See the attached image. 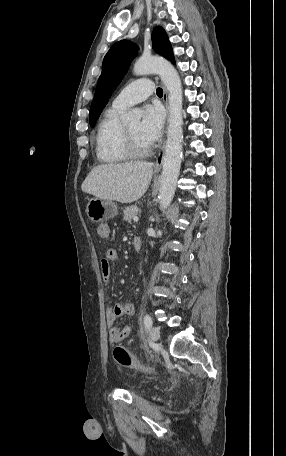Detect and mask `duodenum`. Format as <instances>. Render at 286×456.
Instances as JSON below:
<instances>
[{"mask_svg":"<svg viewBox=\"0 0 286 456\" xmlns=\"http://www.w3.org/2000/svg\"><path fill=\"white\" fill-rule=\"evenodd\" d=\"M132 245H133V249L135 251H140L141 250V245H142L141 239L140 238H134L132 240Z\"/></svg>","mask_w":286,"mask_h":456,"instance_id":"1","label":"duodenum"}]
</instances>
